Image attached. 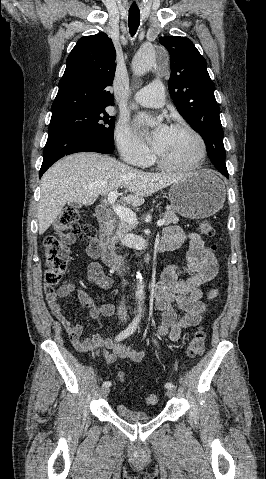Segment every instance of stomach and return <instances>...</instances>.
Wrapping results in <instances>:
<instances>
[{"mask_svg": "<svg viewBox=\"0 0 266 479\" xmlns=\"http://www.w3.org/2000/svg\"><path fill=\"white\" fill-rule=\"evenodd\" d=\"M225 185L203 169L175 182L169 191L171 208L185 218L202 219L218 212L225 201Z\"/></svg>", "mask_w": 266, "mask_h": 479, "instance_id": "1", "label": "stomach"}]
</instances>
